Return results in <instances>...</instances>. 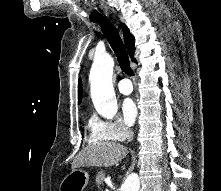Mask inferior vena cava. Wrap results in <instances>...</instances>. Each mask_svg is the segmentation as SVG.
Returning <instances> with one entry per match:
<instances>
[{"instance_id":"inferior-vena-cava-1","label":"inferior vena cava","mask_w":221,"mask_h":191,"mask_svg":"<svg viewBox=\"0 0 221 191\" xmlns=\"http://www.w3.org/2000/svg\"><path fill=\"white\" fill-rule=\"evenodd\" d=\"M133 136H134V132L132 130L127 131V139L129 142L132 141Z\"/></svg>"}]
</instances>
